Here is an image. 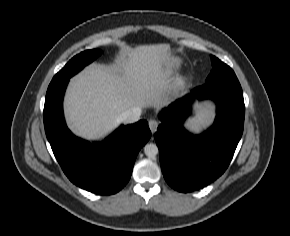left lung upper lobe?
<instances>
[{
	"instance_id": "left-lung-upper-lobe-1",
	"label": "left lung upper lobe",
	"mask_w": 290,
	"mask_h": 236,
	"mask_svg": "<svg viewBox=\"0 0 290 236\" xmlns=\"http://www.w3.org/2000/svg\"><path fill=\"white\" fill-rule=\"evenodd\" d=\"M212 70L206 79V83H211L217 80H224L236 77L234 71L225 63L220 61L215 56L211 55Z\"/></svg>"
}]
</instances>
